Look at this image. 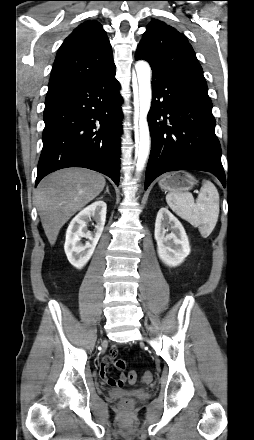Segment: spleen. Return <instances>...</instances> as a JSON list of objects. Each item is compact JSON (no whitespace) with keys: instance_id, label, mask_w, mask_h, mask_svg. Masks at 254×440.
I'll return each instance as SVG.
<instances>
[{"instance_id":"obj_1","label":"spleen","mask_w":254,"mask_h":440,"mask_svg":"<svg viewBox=\"0 0 254 440\" xmlns=\"http://www.w3.org/2000/svg\"><path fill=\"white\" fill-rule=\"evenodd\" d=\"M166 201L179 217L198 227L207 238L216 226L219 216V193L209 180H203L200 193L194 201L191 193H168Z\"/></svg>"}]
</instances>
